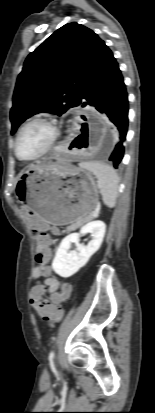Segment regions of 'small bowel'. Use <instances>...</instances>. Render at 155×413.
<instances>
[{
	"label": "small bowel",
	"instance_id": "c3829d8e",
	"mask_svg": "<svg viewBox=\"0 0 155 413\" xmlns=\"http://www.w3.org/2000/svg\"><path fill=\"white\" fill-rule=\"evenodd\" d=\"M18 212L22 216V221L24 223L29 224L28 227L30 231H49L50 230V223L46 222L45 218H36V216L32 214V211L29 209L27 205H20L18 207ZM47 245H49L48 239H47ZM39 267H35L32 271V278L35 280V283L30 291V295L32 293H37L44 297L46 294L47 295L55 294L60 288L59 280L53 276L44 277L39 272ZM40 277L44 278L43 282L38 281Z\"/></svg>",
	"mask_w": 155,
	"mask_h": 413
}]
</instances>
